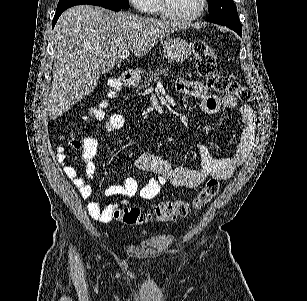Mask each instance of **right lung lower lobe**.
Listing matches in <instances>:
<instances>
[{
    "mask_svg": "<svg viewBox=\"0 0 307 301\" xmlns=\"http://www.w3.org/2000/svg\"><path fill=\"white\" fill-rule=\"evenodd\" d=\"M97 6H101V7H104V8H107V9H110V10H113V11H120L122 8H119V7H116V6H111V5H97ZM66 10V9H65ZM65 10H61V11H56L55 15H54V18H53V21H52V26L54 27L59 16L65 11Z\"/></svg>",
    "mask_w": 307,
    "mask_h": 301,
    "instance_id": "right-lung-lower-lobe-1",
    "label": "right lung lower lobe"
}]
</instances>
